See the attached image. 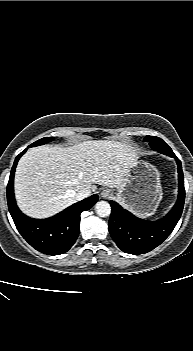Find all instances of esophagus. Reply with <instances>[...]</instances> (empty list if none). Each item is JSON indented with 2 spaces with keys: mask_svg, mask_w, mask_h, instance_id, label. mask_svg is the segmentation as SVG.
<instances>
[{
  "mask_svg": "<svg viewBox=\"0 0 193 351\" xmlns=\"http://www.w3.org/2000/svg\"><path fill=\"white\" fill-rule=\"evenodd\" d=\"M100 196H101L102 198L108 199V198H110V197L112 196V192H111L110 189H103V190L101 191V193H100Z\"/></svg>",
  "mask_w": 193,
  "mask_h": 351,
  "instance_id": "esophagus-1",
  "label": "esophagus"
}]
</instances>
